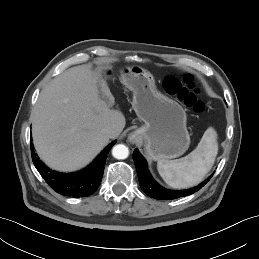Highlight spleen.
Listing matches in <instances>:
<instances>
[{"mask_svg": "<svg viewBox=\"0 0 259 259\" xmlns=\"http://www.w3.org/2000/svg\"><path fill=\"white\" fill-rule=\"evenodd\" d=\"M218 153L217 132L209 127L201 141L187 156L175 160H158L157 170L173 188H189L199 184L211 170Z\"/></svg>", "mask_w": 259, "mask_h": 259, "instance_id": "obj_1", "label": "spleen"}]
</instances>
